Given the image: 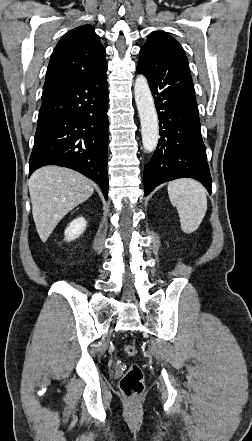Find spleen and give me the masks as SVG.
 Segmentation results:
<instances>
[{"instance_id":"obj_1","label":"spleen","mask_w":252,"mask_h":441,"mask_svg":"<svg viewBox=\"0 0 252 441\" xmlns=\"http://www.w3.org/2000/svg\"><path fill=\"white\" fill-rule=\"evenodd\" d=\"M170 202L177 208L181 229L196 231L207 211L206 189L193 179H178L168 184Z\"/></svg>"}]
</instances>
